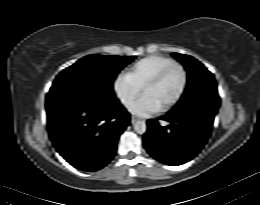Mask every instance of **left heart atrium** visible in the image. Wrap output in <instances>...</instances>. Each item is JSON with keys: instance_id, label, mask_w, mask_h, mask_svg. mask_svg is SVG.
I'll list each match as a JSON object with an SVG mask.
<instances>
[{"instance_id": "obj_1", "label": "left heart atrium", "mask_w": 260, "mask_h": 205, "mask_svg": "<svg viewBox=\"0 0 260 205\" xmlns=\"http://www.w3.org/2000/svg\"><path fill=\"white\" fill-rule=\"evenodd\" d=\"M158 109H160V106L148 96L144 97L132 107V110L136 113L155 112Z\"/></svg>"}]
</instances>
